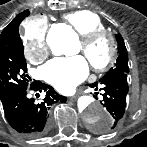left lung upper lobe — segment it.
Here are the masks:
<instances>
[{
	"label": "left lung upper lobe",
	"mask_w": 147,
	"mask_h": 147,
	"mask_svg": "<svg viewBox=\"0 0 147 147\" xmlns=\"http://www.w3.org/2000/svg\"><path fill=\"white\" fill-rule=\"evenodd\" d=\"M115 36L118 42V57L116 60V64L99 81L111 78L113 76H117L122 73H125V74L129 73L128 54H127L124 40L120 34H117Z\"/></svg>",
	"instance_id": "1"
}]
</instances>
